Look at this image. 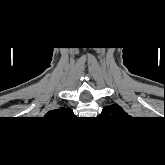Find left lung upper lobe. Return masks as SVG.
Wrapping results in <instances>:
<instances>
[{
    "label": "left lung upper lobe",
    "mask_w": 165,
    "mask_h": 165,
    "mask_svg": "<svg viewBox=\"0 0 165 165\" xmlns=\"http://www.w3.org/2000/svg\"><path fill=\"white\" fill-rule=\"evenodd\" d=\"M101 115L105 116H112V117H123L127 115L124 110L117 104H112L111 106H106L103 110Z\"/></svg>",
    "instance_id": "left-lung-upper-lobe-1"
}]
</instances>
